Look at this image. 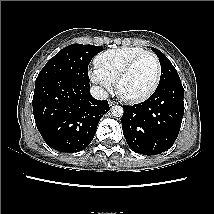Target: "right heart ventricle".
<instances>
[{"instance_id": "right-heart-ventricle-1", "label": "right heart ventricle", "mask_w": 214, "mask_h": 214, "mask_svg": "<svg viewBox=\"0 0 214 214\" xmlns=\"http://www.w3.org/2000/svg\"><path fill=\"white\" fill-rule=\"evenodd\" d=\"M144 52H146L145 49L133 46L107 50L95 57V69L114 83L125 65L132 58Z\"/></svg>"}]
</instances>
